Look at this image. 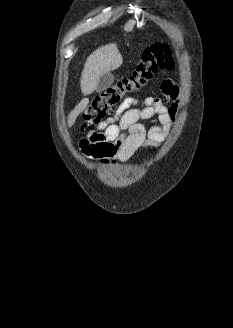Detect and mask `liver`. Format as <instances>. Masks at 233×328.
I'll return each mask as SVG.
<instances>
[{
    "label": "liver",
    "instance_id": "liver-1",
    "mask_svg": "<svg viewBox=\"0 0 233 328\" xmlns=\"http://www.w3.org/2000/svg\"><path fill=\"white\" fill-rule=\"evenodd\" d=\"M133 28V23L125 27L126 31ZM123 63L122 55L120 54L116 43H111L99 47L90 54L84 64V68L80 78L81 92L84 96L93 93L99 81V78L104 73L118 69ZM88 98H83L78 105L68 115V126L71 127L77 116L87 107Z\"/></svg>",
    "mask_w": 233,
    "mask_h": 328
}]
</instances>
